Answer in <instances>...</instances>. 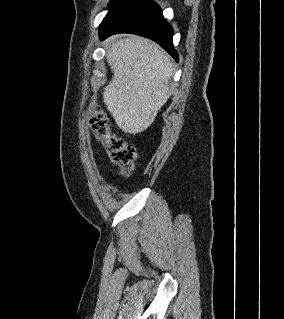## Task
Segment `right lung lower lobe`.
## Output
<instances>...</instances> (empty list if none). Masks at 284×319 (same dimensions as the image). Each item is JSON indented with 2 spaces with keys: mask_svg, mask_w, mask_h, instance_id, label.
I'll return each mask as SVG.
<instances>
[{
  "mask_svg": "<svg viewBox=\"0 0 284 319\" xmlns=\"http://www.w3.org/2000/svg\"><path fill=\"white\" fill-rule=\"evenodd\" d=\"M116 33H133L157 42L176 61L173 28L164 19L160 7L152 0H138L109 26L99 30L101 40Z\"/></svg>",
  "mask_w": 284,
  "mask_h": 319,
  "instance_id": "98d812e1",
  "label": "right lung lower lobe"
}]
</instances>
